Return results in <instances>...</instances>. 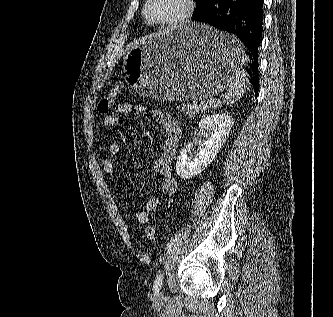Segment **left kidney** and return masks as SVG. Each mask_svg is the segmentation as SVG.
<instances>
[{"mask_svg":"<svg viewBox=\"0 0 333 317\" xmlns=\"http://www.w3.org/2000/svg\"><path fill=\"white\" fill-rule=\"evenodd\" d=\"M234 119L226 113H216L201 119L194 134L207 130L208 138L199 146V152L190 157L189 147L182 149L176 164V172L182 179H188L201 173L216 157L226 141Z\"/></svg>","mask_w":333,"mask_h":317,"instance_id":"5707ae66","label":"left kidney"}]
</instances>
